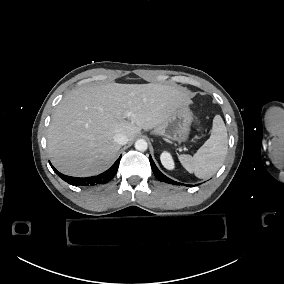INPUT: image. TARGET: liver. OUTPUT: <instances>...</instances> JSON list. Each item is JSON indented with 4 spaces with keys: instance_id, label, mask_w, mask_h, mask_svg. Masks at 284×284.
I'll return each mask as SVG.
<instances>
[{
    "instance_id": "liver-1",
    "label": "liver",
    "mask_w": 284,
    "mask_h": 284,
    "mask_svg": "<svg viewBox=\"0 0 284 284\" xmlns=\"http://www.w3.org/2000/svg\"><path fill=\"white\" fill-rule=\"evenodd\" d=\"M190 103L183 88L159 83L79 87L61 100L52 116L51 161L66 175H97L112 165L121 147L114 141L115 134L123 133L133 141L142 129L158 126Z\"/></svg>"
}]
</instances>
